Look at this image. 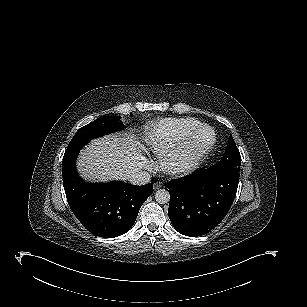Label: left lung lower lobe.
I'll return each instance as SVG.
<instances>
[{"label":"left lung lower lobe","instance_id":"0a47b994","mask_svg":"<svg viewBox=\"0 0 307 307\" xmlns=\"http://www.w3.org/2000/svg\"><path fill=\"white\" fill-rule=\"evenodd\" d=\"M238 182L239 173L212 168L170 181L168 215L173 227L191 237L209 233L228 213Z\"/></svg>","mask_w":307,"mask_h":307}]
</instances>
